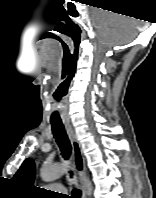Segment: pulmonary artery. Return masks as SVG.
Returning a JSON list of instances; mask_svg holds the SVG:
<instances>
[{
	"instance_id": "e3ab8cb5",
	"label": "pulmonary artery",
	"mask_w": 156,
	"mask_h": 198,
	"mask_svg": "<svg viewBox=\"0 0 156 198\" xmlns=\"http://www.w3.org/2000/svg\"><path fill=\"white\" fill-rule=\"evenodd\" d=\"M50 188L52 189V190H55V191H58V192H65L66 191V189H65V187L64 186H62V185H50Z\"/></svg>"
}]
</instances>
